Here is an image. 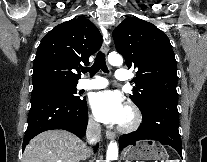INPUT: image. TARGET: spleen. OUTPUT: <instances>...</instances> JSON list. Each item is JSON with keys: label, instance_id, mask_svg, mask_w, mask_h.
<instances>
[{"label": "spleen", "instance_id": "3e777b00", "mask_svg": "<svg viewBox=\"0 0 207 162\" xmlns=\"http://www.w3.org/2000/svg\"><path fill=\"white\" fill-rule=\"evenodd\" d=\"M167 162H179L178 160H168Z\"/></svg>", "mask_w": 207, "mask_h": 162}]
</instances>
